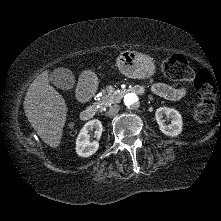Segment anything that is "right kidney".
Here are the masks:
<instances>
[{
	"label": "right kidney",
	"instance_id": "obj_1",
	"mask_svg": "<svg viewBox=\"0 0 221 221\" xmlns=\"http://www.w3.org/2000/svg\"><path fill=\"white\" fill-rule=\"evenodd\" d=\"M73 126V124H70ZM90 130H95V136L98 138L101 136L103 127L101 121L98 119H93L85 123L83 128L80 130L76 139V153L81 157H89L97 152L99 149L98 141H90V135L88 132Z\"/></svg>",
	"mask_w": 221,
	"mask_h": 221
}]
</instances>
